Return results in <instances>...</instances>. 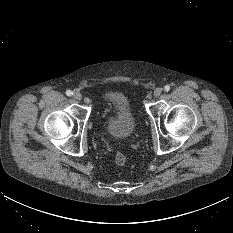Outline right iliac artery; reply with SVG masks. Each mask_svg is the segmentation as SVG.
<instances>
[{"mask_svg": "<svg viewBox=\"0 0 233 233\" xmlns=\"http://www.w3.org/2000/svg\"><path fill=\"white\" fill-rule=\"evenodd\" d=\"M66 95H67V96H72V95H73V92H72L71 90H67V91H66Z\"/></svg>", "mask_w": 233, "mask_h": 233, "instance_id": "1", "label": "right iliac artery"}]
</instances>
